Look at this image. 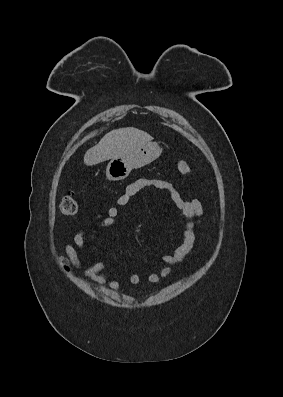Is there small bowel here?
Instances as JSON below:
<instances>
[{
	"mask_svg": "<svg viewBox=\"0 0 283 397\" xmlns=\"http://www.w3.org/2000/svg\"><path fill=\"white\" fill-rule=\"evenodd\" d=\"M144 188H154L166 191L185 218L182 242L176 247L172 254L162 257V260L167 264V266L161 268L159 272L151 273L147 276V282L151 285H155L162 279L168 278L172 273V266L182 262L192 250L195 242V224L196 222L201 224L203 208L200 202L195 199H183L177 186L172 182L152 178H139L127 186L125 192L105 214L98 213L93 217L94 220L99 221V229L114 224L115 219L120 214L121 208L127 205L130 200ZM97 234L98 231L94 233L93 237H96ZM85 245L86 238L83 230H78L74 234L72 241L66 243L65 251L73 266L85 279L101 285H107L112 290H119V282L110 275L104 273V270L107 267L105 262H96L85 269L81 267L77 249L84 251ZM129 282L132 285H138L141 282V278L137 274H131L129 276Z\"/></svg>",
	"mask_w": 283,
	"mask_h": 397,
	"instance_id": "c3829d8e",
	"label": "small bowel"
}]
</instances>
